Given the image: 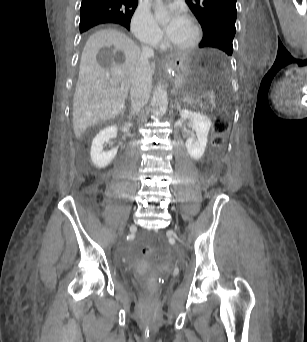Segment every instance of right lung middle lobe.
I'll return each mask as SVG.
<instances>
[{
    "label": "right lung middle lobe",
    "mask_w": 307,
    "mask_h": 342,
    "mask_svg": "<svg viewBox=\"0 0 307 342\" xmlns=\"http://www.w3.org/2000/svg\"><path fill=\"white\" fill-rule=\"evenodd\" d=\"M119 15L108 10H81L80 32L98 24L114 22Z\"/></svg>",
    "instance_id": "right-lung-middle-lobe-1"
}]
</instances>
